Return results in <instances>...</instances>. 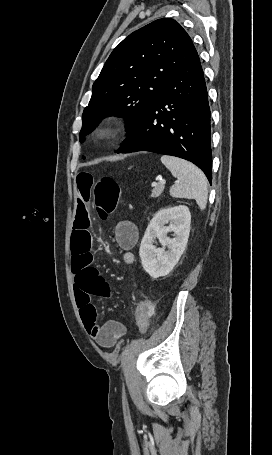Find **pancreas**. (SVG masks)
I'll list each match as a JSON object with an SVG mask.
<instances>
[{"instance_id":"obj_1","label":"pancreas","mask_w":272,"mask_h":455,"mask_svg":"<svg viewBox=\"0 0 272 455\" xmlns=\"http://www.w3.org/2000/svg\"><path fill=\"white\" fill-rule=\"evenodd\" d=\"M164 190V186H162L160 183L157 184L151 191V196L150 197H153V198H157L161 195V193L163 192Z\"/></svg>"}]
</instances>
